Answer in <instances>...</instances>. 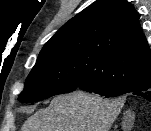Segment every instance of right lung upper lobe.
<instances>
[{
	"mask_svg": "<svg viewBox=\"0 0 151 131\" xmlns=\"http://www.w3.org/2000/svg\"><path fill=\"white\" fill-rule=\"evenodd\" d=\"M76 45L95 59L106 86L129 89L151 83V50L139 15L126 0H97L64 24L44 45Z\"/></svg>",
	"mask_w": 151,
	"mask_h": 131,
	"instance_id": "cb5924a9",
	"label": "right lung upper lobe"
}]
</instances>
